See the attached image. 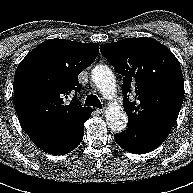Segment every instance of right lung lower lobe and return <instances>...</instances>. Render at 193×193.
Segmentation results:
<instances>
[{
    "instance_id": "1",
    "label": "right lung lower lobe",
    "mask_w": 193,
    "mask_h": 193,
    "mask_svg": "<svg viewBox=\"0 0 193 193\" xmlns=\"http://www.w3.org/2000/svg\"><path fill=\"white\" fill-rule=\"evenodd\" d=\"M92 111L56 129L29 134V137L45 152L55 155L67 154L75 149L83 139L84 122L90 117Z\"/></svg>"
}]
</instances>
